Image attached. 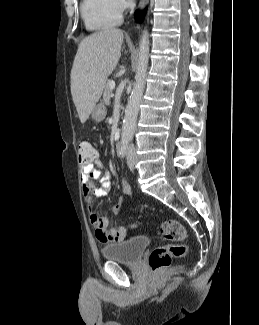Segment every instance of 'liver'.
I'll list each match as a JSON object with an SVG mask.
<instances>
[{
  "label": "liver",
  "instance_id": "6515ba94",
  "mask_svg": "<svg viewBox=\"0 0 259 325\" xmlns=\"http://www.w3.org/2000/svg\"><path fill=\"white\" fill-rule=\"evenodd\" d=\"M123 37L122 30L109 28L91 34L79 44L70 76L71 94L82 124L120 59Z\"/></svg>",
  "mask_w": 259,
  "mask_h": 325
}]
</instances>
